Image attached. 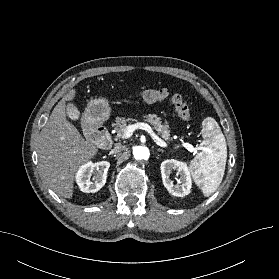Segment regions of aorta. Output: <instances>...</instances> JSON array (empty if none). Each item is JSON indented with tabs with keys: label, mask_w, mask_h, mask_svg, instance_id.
Returning <instances> with one entry per match:
<instances>
[{
	"label": "aorta",
	"mask_w": 279,
	"mask_h": 279,
	"mask_svg": "<svg viewBox=\"0 0 279 279\" xmlns=\"http://www.w3.org/2000/svg\"><path fill=\"white\" fill-rule=\"evenodd\" d=\"M133 156L136 160H147L150 156V152L145 146H137L133 150Z\"/></svg>",
	"instance_id": "obj_1"
}]
</instances>
